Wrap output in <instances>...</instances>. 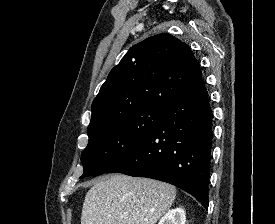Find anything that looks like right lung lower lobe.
I'll return each mask as SVG.
<instances>
[{
	"mask_svg": "<svg viewBox=\"0 0 275 224\" xmlns=\"http://www.w3.org/2000/svg\"><path fill=\"white\" fill-rule=\"evenodd\" d=\"M213 115L203 79L169 106L151 133L106 173L175 185L207 209Z\"/></svg>",
	"mask_w": 275,
	"mask_h": 224,
	"instance_id": "98d812e1",
	"label": "right lung lower lobe"
}]
</instances>
